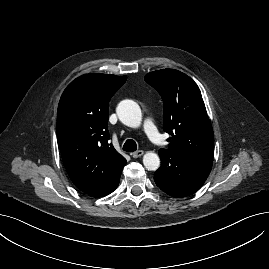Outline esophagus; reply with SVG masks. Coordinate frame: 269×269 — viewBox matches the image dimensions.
I'll return each mask as SVG.
<instances>
[{
    "instance_id": "1",
    "label": "esophagus",
    "mask_w": 269,
    "mask_h": 269,
    "mask_svg": "<svg viewBox=\"0 0 269 269\" xmlns=\"http://www.w3.org/2000/svg\"><path fill=\"white\" fill-rule=\"evenodd\" d=\"M143 154H144V151H142V150H138V151L131 153L133 158L141 157Z\"/></svg>"
}]
</instances>
